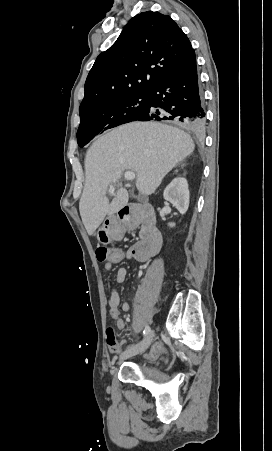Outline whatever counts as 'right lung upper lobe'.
I'll return each instance as SVG.
<instances>
[{
  "label": "right lung upper lobe",
  "mask_w": 272,
  "mask_h": 451,
  "mask_svg": "<svg viewBox=\"0 0 272 451\" xmlns=\"http://www.w3.org/2000/svg\"><path fill=\"white\" fill-rule=\"evenodd\" d=\"M194 50L170 16L143 12L96 59L85 82L82 113L109 100L148 94Z\"/></svg>",
  "instance_id": "right-lung-upper-lobe-1"
}]
</instances>
